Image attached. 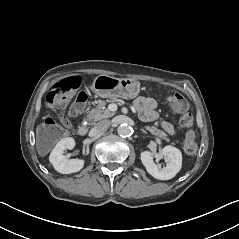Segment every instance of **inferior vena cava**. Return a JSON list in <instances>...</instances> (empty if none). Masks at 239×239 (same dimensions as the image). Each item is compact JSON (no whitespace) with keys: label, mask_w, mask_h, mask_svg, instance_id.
Returning a JSON list of instances; mask_svg holds the SVG:
<instances>
[{"label":"inferior vena cava","mask_w":239,"mask_h":239,"mask_svg":"<svg viewBox=\"0 0 239 239\" xmlns=\"http://www.w3.org/2000/svg\"><path fill=\"white\" fill-rule=\"evenodd\" d=\"M111 122L107 119L101 120L95 125V129L98 131L107 130L110 126Z\"/></svg>","instance_id":"1"}]
</instances>
